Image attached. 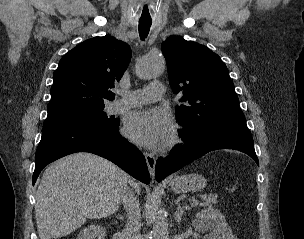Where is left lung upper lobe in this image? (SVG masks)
Returning a JSON list of instances; mask_svg holds the SVG:
<instances>
[{"label":"left lung upper lobe","mask_w":304,"mask_h":239,"mask_svg":"<svg viewBox=\"0 0 304 239\" xmlns=\"http://www.w3.org/2000/svg\"><path fill=\"white\" fill-rule=\"evenodd\" d=\"M162 52L174 93H184L176 106L183 137L196 139L226 128L248 129L228 69L217 54L177 36L162 43Z\"/></svg>","instance_id":"5c2ea615"}]
</instances>
